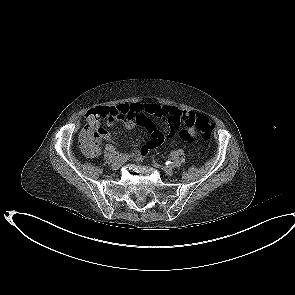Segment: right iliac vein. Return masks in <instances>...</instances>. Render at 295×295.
<instances>
[{"instance_id": "right-iliac-vein-1", "label": "right iliac vein", "mask_w": 295, "mask_h": 295, "mask_svg": "<svg viewBox=\"0 0 295 295\" xmlns=\"http://www.w3.org/2000/svg\"><path fill=\"white\" fill-rule=\"evenodd\" d=\"M120 167H121V162H120V161H115V162H113V164H112V168H113L114 170H118V169H120Z\"/></svg>"}]
</instances>
